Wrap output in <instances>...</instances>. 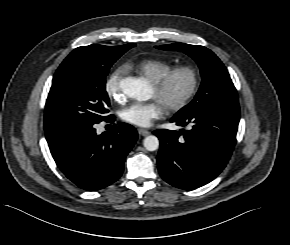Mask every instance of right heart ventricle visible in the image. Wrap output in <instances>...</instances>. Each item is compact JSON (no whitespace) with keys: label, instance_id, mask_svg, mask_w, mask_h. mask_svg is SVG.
<instances>
[{"label":"right heart ventricle","instance_id":"e07e8e85","mask_svg":"<svg viewBox=\"0 0 290 245\" xmlns=\"http://www.w3.org/2000/svg\"><path fill=\"white\" fill-rule=\"evenodd\" d=\"M126 67L135 70L137 73L148 78L151 82H155L173 66L168 62L158 59H144L137 62H130Z\"/></svg>","mask_w":290,"mask_h":245}]
</instances>
